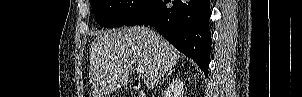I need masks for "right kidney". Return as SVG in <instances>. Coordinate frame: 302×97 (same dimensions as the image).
I'll use <instances>...</instances> for the list:
<instances>
[{
    "label": "right kidney",
    "instance_id": "1",
    "mask_svg": "<svg viewBox=\"0 0 302 97\" xmlns=\"http://www.w3.org/2000/svg\"><path fill=\"white\" fill-rule=\"evenodd\" d=\"M184 92V84L180 80L172 81L169 85L166 94L170 97L174 95V97H182Z\"/></svg>",
    "mask_w": 302,
    "mask_h": 97
}]
</instances>
